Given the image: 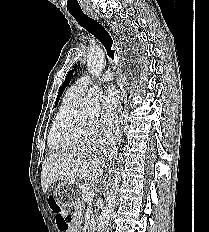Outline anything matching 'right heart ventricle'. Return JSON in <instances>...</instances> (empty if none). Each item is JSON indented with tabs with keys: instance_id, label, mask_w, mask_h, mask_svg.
Instances as JSON below:
<instances>
[{
	"instance_id": "1",
	"label": "right heart ventricle",
	"mask_w": 209,
	"mask_h": 232,
	"mask_svg": "<svg viewBox=\"0 0 209 232\" xmlns=\"http://www.w3.org/2000/svg\"><path fill=\"white\" fill-rule=\"evenodd\" d=\"M84 95L77 94L70 88L54 117L49 136L48 145L52 150L64 149L81 141H85L96 132L90 135L76 134L71 131V123L79 112V104Z\"/></svg>"
}]
</instances>
